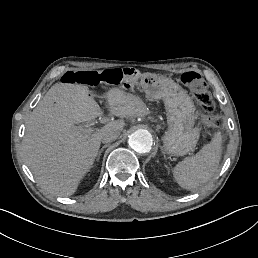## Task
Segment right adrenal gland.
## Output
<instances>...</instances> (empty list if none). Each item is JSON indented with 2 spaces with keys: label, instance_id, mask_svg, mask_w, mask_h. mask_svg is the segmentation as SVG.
<instances>
[{
  "label": "right adrenal gland",
  "instance_id": "right-adrenal-gland-1",
  "mask_svg": "<svg viewBox=\"0 0 258 258\" xmlns=\"http://www.w3.org/2000/svg\"><path fill=\"white\" fill-rule=\"evenodd\" d=\"M109 145H103L97 152H96V161H99L101 154L105 148H107Z\"/></svg>",
  "mask_w": 258,
  "mask_h": 258
}]
</instances>
